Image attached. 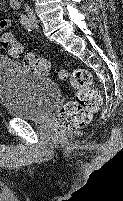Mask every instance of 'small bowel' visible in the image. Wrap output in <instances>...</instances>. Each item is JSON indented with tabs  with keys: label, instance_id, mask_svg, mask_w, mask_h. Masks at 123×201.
Segmentation results:
<instances>
[{
	"label": "small bowel",
	"instance_id": "1",
	"mask_svg": "<svg viewBox=\"0 0 123 201\" xmlns=\"http://www.w3.org/2000/svg\"><path fill=\"white\" fill-rule=\"evenodd\" d=\"M12 26L11 20L7 17L0 18V38L1 44L5 35L9 34L6 31Z\"/></svg>",
	"mask_w": 123,
	"mask_h": 201
}]
</instances>
